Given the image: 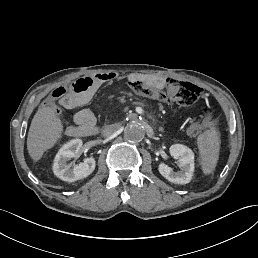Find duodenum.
<instances>
[{"instance_id": "410a0bca", "label": "duodenum", "mask_w": 258, "mask_h": 258, "mask_svg": "<svg viewBox=\"0 0 258 258\" xmlns=\"http://www.w3.org/2000/svg\"><path fill=\"white\" fill-rule=\"evenodd\" d=\"M115 77H116V75L113 73H98V74L92 75L90 77V79L96 84H102L104 82L113 80ZM77 135L78 136H86L87 134L85 132L81 131V132H78Z\"/></svg>"}]
</instances>
